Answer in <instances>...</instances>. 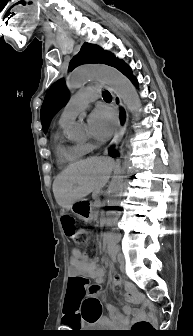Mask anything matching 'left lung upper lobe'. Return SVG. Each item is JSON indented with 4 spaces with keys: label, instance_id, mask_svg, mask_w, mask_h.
I'll list each match as a JSON object with an SVG mask.
<instances>
[{
    "label": "left lung upper lobe",
    "instance_id": "5c2ea615",
    "mask_svg": "<svg viewBox=\"0 0 193 336\" xmlns=\"http://www.w3.org/2000/svg\"><path fill=\"white\" fill-rule=\"evenodd\" d=\"M114 57L109 52L96 45L84 43L79 53L72 59L69 69L86 63H103L112 65ZM68 91L63 80L55 82L48 90L42 107H41V122L42 128L45 132L50 120L57 113V111L66 103Z\"/></svg>",
    "mask_w": 193,
    "mask_h": 336
}]
</instances>
